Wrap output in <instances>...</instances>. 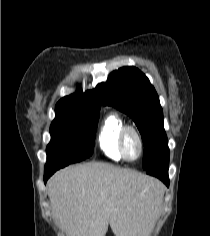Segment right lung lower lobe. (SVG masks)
Here are the masks:
<instances>
[{
  "mask_svg": "<svg viewBox=\"0 0 210 236\" xmlns=\"http://www.w3.org/2000/svg\"><path fill=\"white\" fill-rule=\"evenodd\" d=\"M68 164L66 163H54V164H49L46 163L45 165V170H44V183L46 184L47 180L49 177L56 172L57 170L67 166Z\"/></svg>",
  "mask_w": 210,
  "mask_h": 236,
  "instance_id": "obj_1",
  "label": "right lung lower lobe"
}]
</instances>
